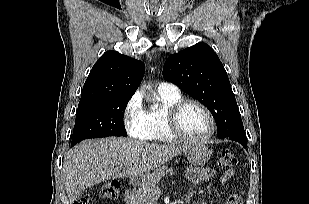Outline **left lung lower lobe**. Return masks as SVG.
Wrapping results in <instances>:
<instances>
[{
    "label": "left lung lower lobe",
    "mask_w": 309,
    "mask_h": 204,
    "mask_svg": "<svg viewBox=\"0 0 309 204\" xmlns=\"http://www.w3.org/2000/svg\"><path fill=\"white\" fill-rule=\"evenodd\" d=\"M223 138H229L231 140L239 142L244 148L247 147V139L245 131L234 132Z\"/></svg>",
    "instance_id": "1"
}]
</instances>
